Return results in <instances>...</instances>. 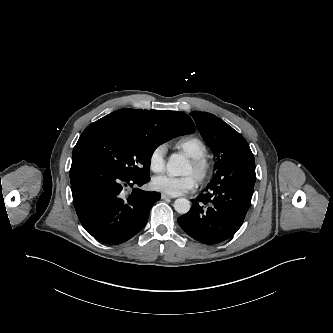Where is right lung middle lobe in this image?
Instances as JSON below:
<instances>
[{
  "label": "right lung middle lobe",
  "instance_id": "right-lung-middle-lobe-1",
  "mask_svg": "<svg viewBox=\"0 0 333 333\" xmlns=\"http://www.w3.org/2000/svg\"><path fill=\"white\" fill-rule=\"evenodd\" d=\"M160 144L156 138L129 130L98 128L81 134L72 155L95 158L121 175L147 178L152 153Z\"/></svg>",
  "mask_w": 333,
  "mask_h": 333
}]
</instances>
